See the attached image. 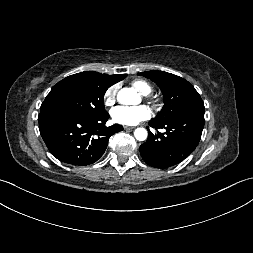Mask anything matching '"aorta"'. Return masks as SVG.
I'll return each mask as SVG.
<instances>
[{
  "label": "aorta",
  "instance_id": "1",
  "mask_svg": "<svg viewBox=\"0 0 253 253\" xmlns=\"http://www.w3.org/2000/svg\"><path fill=\"white\" fill-rule=\"evenodd\" d=\"M117 100L123 105H137L141 98L133 88H123L117 94ZM147 130L145 128H137L134 131V136L139 141H144L147 138Z\"/></svg>",
  "mask_w": 253,
  "mask_h": 253
}]
</instances>
